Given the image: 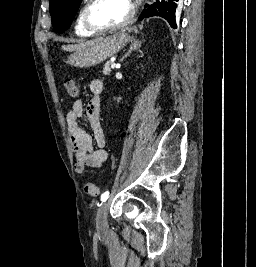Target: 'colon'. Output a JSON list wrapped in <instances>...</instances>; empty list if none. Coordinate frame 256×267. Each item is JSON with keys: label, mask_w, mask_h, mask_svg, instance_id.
I'll return each instance as SVG.
<instances>
[{"label": "colon", "mask_w": 256, "mask_h": 267, "mask_svg": "<svg viewBox=\"0 0 256 267\" xmlns=\"http://www.w3.org/2000/svg\"><path fill=\"white\" fill-rule=\"evenodd\" d=\"M66 92L70 98H76L79 96L80 90L79 86L70 78H67L64 82ZM84 189L87 194L90 196H99L100 195V188L94 183L88 182L84 185Z\"/></svg>", "instance_id": "obj_1"}]
</instances>
